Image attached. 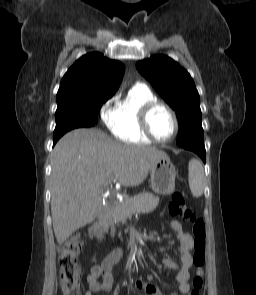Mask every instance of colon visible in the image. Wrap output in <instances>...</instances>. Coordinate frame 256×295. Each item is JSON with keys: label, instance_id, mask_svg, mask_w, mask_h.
Here are the masks:
<instances>
[{"label": "colon", "instance_id": "1", "mask_svg": "<svg viewBox=\"0 0 256 295\" xmlns=\"http://www.w3.org/2000/svg\"><path fill=\"white\" fill-rule=\"evenodd\" d=\"M168 212L192 226L193 253L192 262L196 269L192 280L190 295H201L203 287V268L206 260V229L202 218L197 217L186 205L182 193L175 192L168 204ZM83 249L82 240L74 236L60 248L58 259L60 269V285L63 295H80L82 270L78 263V255Z\"/></svg>", "mask_w": 256, "mask_h": 295}]
</instances>
